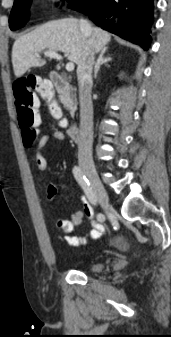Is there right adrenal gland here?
Listing matches in <instances>:
<instances>
[{
    "instance_id": "obj_1",
    "label": "right adrenal gland",
    "mask_w": 171,
    "mask_h": 337,
    "mask_svg": "<svg viewBox=\"0 0 171 337\" xmlns=\"http://www.w3.org/2000/svg\"><path fill=\"white\" fill-rule=\"evenodd\" d=\"M107 51V48H103L101 51H100V54H99V57L97 59V62L95 64V67H94V78L97 77V74H98V71L100 69V66L102 64H106L107 62L111 61L112 58L108 57V58H104V54L105 52Z\"/></svg>"
}]
</instances>
